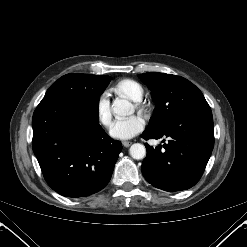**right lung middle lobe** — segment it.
Wrapping results in <instances>:
<instances>
[{"instance_id":"right-lung-middle-lobe-1","label":"right lung middle lobe","mask_w":247,"mask_h":247,"mask_svg":"<svg viewBox=\"0 0 247 247\" xmlns=\"http://www.w3.org/2000/svg\"><path fill=\"white\" fill-rule=\"evenodd\" d=\"M111 80L109 76L70 73L62 76L47 90L43 99L63 98L92 103L99 108V97Z\"/></svg>"}]
</instances>
